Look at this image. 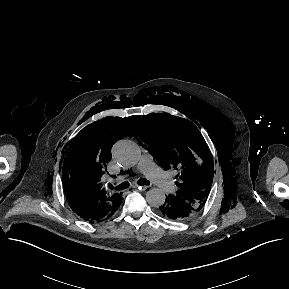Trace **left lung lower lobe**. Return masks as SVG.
<instances>
[{
	"label": "left lung lower lobe",
	"mask_w": 289,
	"mask_h": 289,
	"mask_svg": "<svg viewBox=\"0 0 289 289\" xmlns=\"http://www.w3.org/2000/svg\"><path fill=\"white\" fill-rule=\"evenodd\" d=\"M159 208L164 217L174 221H183L197 212V210L187 202L178 200L171 195L166 197L165 203Z\"/></svg>",
	"instance_id": "1"
}]
</instances>
